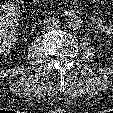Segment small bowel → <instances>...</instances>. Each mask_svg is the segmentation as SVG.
Returning <instances> with one entry per match:
<instances>
[{"instance_id":"1","label":"small bowel","mask_w":113,"mask_h":113,"mask_svg":"<svg viewBox=\"0 0 113 113\" xmlns=\"http://www.w3.org/2000/svg\"><path fill=\"white\" fill-rule=\"evenodd\" d=\"M91 21L102 32H104L107 35L113 36V25L105 23V21L97 15H92Z\"/></svg>"}]
</instances>
